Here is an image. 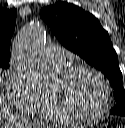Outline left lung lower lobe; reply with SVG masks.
Instances as JSON below:
<instances>
[{"label":"left lung lower lobe","mask_w":125,"mask_h":128,"mask_svg":"<svg viewBox=\"0 0 125 128\" xmlns=\"http://www.w3.org/2000/svg\"><path fill=\"white\" fill-rule=\"evenodd\" d=\"M116 112H117V111H114L113 113H111V111H110V113L113 114V115H116Z\"/></svg>","instance_id":"0a47b994"}]
</instances>
